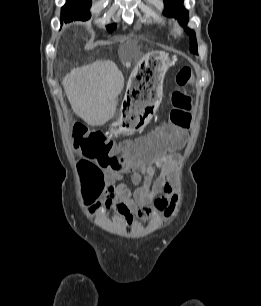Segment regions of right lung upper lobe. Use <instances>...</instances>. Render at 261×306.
Wrapping results in <instances>:
<instances>
[{"label":"right lung upper lobe","mask_w":261,"mask_h":306,"mask_svg":"<svg viewBox=\"0 0 261 306\" xmlns=\"http://www.w3.org/2000/svg\"><path fill=\"white\" fill-rule=\"evenodd\" d=\"M73 1H75V0H67V2H66V3H68V2H73Z\"/></svg>","instance_id":"right-lung-upper-lobe-1"}]
</instances>
